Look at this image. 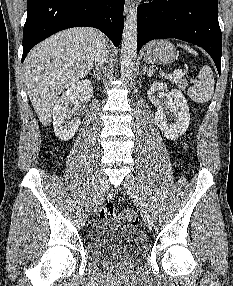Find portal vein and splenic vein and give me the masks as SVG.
<instances>
[{
  "mask_svg": "<svg viewBox=\"0 0 233 286\" xmlns=\"http://www.w3.org/2000/svg\"><path fill=\"white\" fill-rule=\"evenodd\" d=\"M186 74V72L180 71V70H176L173 74H169V77H179V76H184Z\"/></svg>",
  "mask_w": 233,
  "mask_h": 286,
  "instance_id": "18ae733b",
  "label": "portal vein and splenic vein"
}]
</instances>
